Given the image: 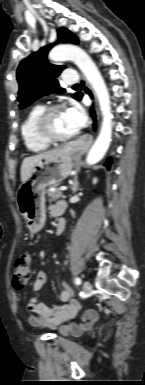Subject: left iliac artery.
I'll list each match as a JSON object with an SVG mask.
<instances>
[{"mask_svg": "<svg viewBox=\"0 0 145 385\" xmlns=\"http://www.w3.org/2000/svg\"><path fill=\"white\" fill-rule=\"evenodd\" d=\"M75 284L80 285L81 284V279L79 277L75 278Z\"/></svg>", "mask_w": 145, "mask_h": 385, "instance_id": "44dca946", "label": "left iliac artery"}]
</instances>
